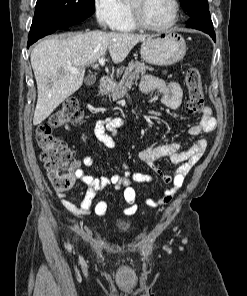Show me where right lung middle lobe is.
I'll list each match as a JSON object with an SVG mask.
<instances>
[{
    "instance_id": "1",
    "label": "right lung middle lobe",
    "mask_w": 247,
    "mask_h": 296,
    "mask_svg": "<svg viewBox=\"0 0 247 296\" xmlns=\"http://www.w3.org/2000/svg\"><path fill=\"white\" fill-rule=\"evenodd\" d=\"M95 0H37L32 25L41 26L35 35L49 24H77L95 12Z\"/></svg>"
}]
</instances>
